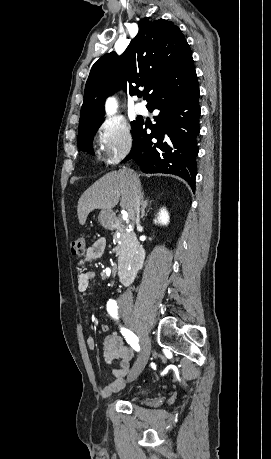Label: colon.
Masks as SVG:
<instances>
[{
    "mask_svg": "<svg viewBox=\"0 0 271 459\" xmlns=\"http://www.w3.org/2000/svg\"><path fill=\"white\" fill-rule=\"evenodd\" d=\"M86 248V238L84 235H79L72 243V253L74 255H82Z\"/></svg>",
    "mask_w": 271,
    "mask_h": 459,
    "instance_id": "obj_1",
    "label": "colon"
}]
</instances>
